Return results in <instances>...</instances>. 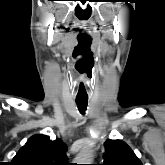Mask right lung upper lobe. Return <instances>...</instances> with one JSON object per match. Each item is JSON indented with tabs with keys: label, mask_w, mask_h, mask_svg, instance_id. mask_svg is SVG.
<instances>
[{
	"label": "right lung upper lobe",
	"mask_w": 165,
	"mask_h": 165,
	"mask_svg": "<svg viewBox=\"0 0 165 165\" xmlns=\"http://www.w3.org/2000/svg\"><path fill=\"white\" fill-rule=\"evenodd\" d=\"M67 146L60 140L45 135H34L13 158L12 165H70Z\"/></svg>",
	"instance_id": "cb5924a9"
}]
</instances>
